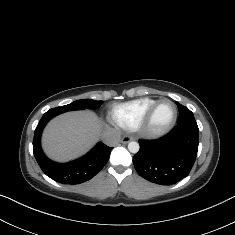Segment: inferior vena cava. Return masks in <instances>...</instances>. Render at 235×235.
I'll return each mask as SVG.
<instances>
[{
	"label": "inferior vena cava",
	"mask_w": 235,
	"mask_h": 235,
	"mask_svg": "<svg viewBox=\"0 0 235 235\" xmlns=\"http://www.w3.org/2000/svg\"><path fill=\"white\" fill-rule=\"evenodd\" d=\"M101 139L107 146L115 147L120 142V135L117 132L111 131L103 134Z\"/></svg>",
	"instance_id": "1"
}]
</instances>
